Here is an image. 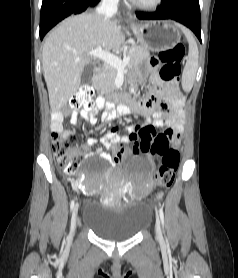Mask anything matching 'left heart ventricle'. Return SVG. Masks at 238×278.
Here are the masks:
<instances>
[{
    "label": "left heart ventricle",
    "instance_id": "b2bd125f",
    "mask_svg": "<svg viewBox=\"0 0 238 278\" xmlns=\"http://www.w3.org/2000/svg\"><path fill=\"white\" fill-rule=\"evenodd\" d=\"M139 1L148 2V1H151V0H139Z\"/></svg>",
    "mask_w": 238,
    "mask_h": 278
}]
</instances>
